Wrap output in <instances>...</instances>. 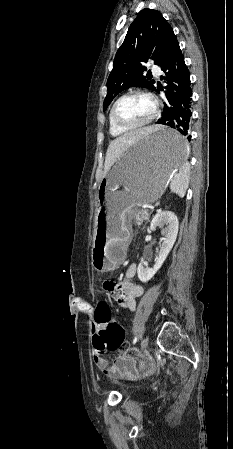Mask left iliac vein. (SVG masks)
<instances>
[{"label":"left iliac vein","mask_w":233,"mask_h":449,"mask_svg":"<svg viewBox=\"0 0 233 449\" xmlns=\"http://www.w3.org/2000/svg\"><path fill=\"white\" fill-rule=\"evenodd\" d=\"M148 344H149V337L147 336L142 340V343H141V351L142 352L146 350Z\"/></svg>","instance_id":"4c4485c4"}]
</instances>
